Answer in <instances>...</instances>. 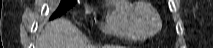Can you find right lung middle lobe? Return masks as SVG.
<instances>
[{
	"instance_id": "right-lung-middle-lobe-1",
	"label": "right lung middle lobe",
	"mask_w": 213,
	"mask_h": 48,
	"mask_svg": "<svg viewBox=\"0 0 213 48\" xmlns=\"http://www.w3.org/2000/svg\"><path fill=\"white\" fill-rule=\"evenodd\" d=\"M75 0H61L59 7L57 10L53 13L50 19H54L58 16H61L67 12L70 8H72L75 5Z\"/></svg>"
}]
</instances>
